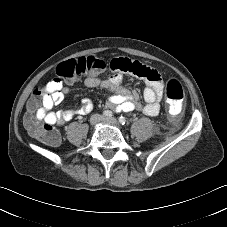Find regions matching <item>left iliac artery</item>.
Wrapping results in <instances>:
<instances>
[{"label": "left iliac artery", "instance_id": "44dca946", "mask_svg": "<svg viewBox=\"0 0 227 227\" xmlns=\"http://www.w3.org/2000/svg\"><path fill=\"white\" fill-rule=\"evenodd\" d=\"M126 122H127V120H126L125 117H123V116L119 117V123L120 124L124 125Z\"/></svg>", "mask_w": 227, "mask_h": 227}]
</instances>
